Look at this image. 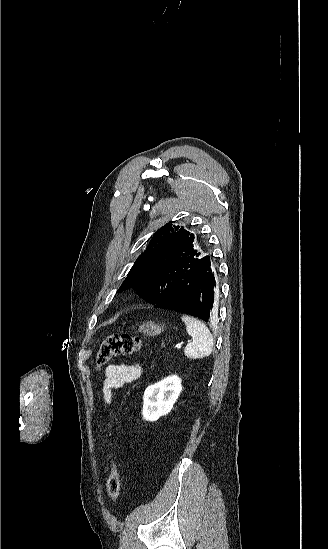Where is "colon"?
Returning <instances> with one entry per match:
<instances>
[{
  "mask_svg": "<svg viewBox=\"0 0 328 549\" xmlns=\"http://www.w3.org/2000/svg\"><path fill=\"white\" fill-rule=\"evenodd\" d=\"M143 341L139 337L129 334H112L108 336L100 345L96 363L103 366L113 357L119 355H129L141 349ZM109 476L107 479V491L110 499L115 502L120 494V475L113 457L109 459Z\"/></svg>",
  "mask_w": 328,
  "mask_h": 549,
  "instance_id": "colon-1",
  "label": "colon"
}]
</instances>
